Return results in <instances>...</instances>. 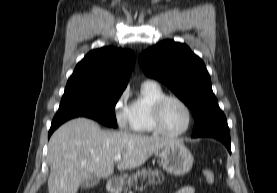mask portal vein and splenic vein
Returning <instances> with one entry per match:
<instances>
[{"label":"portal vein and splenic vein","instance_id":"obj_1","mask_svg":"<svg viewBox=\"0 0 277 193\" xmlns=\"http://www.w3.org/2000/svg\"><path fill=\"white\" fill-rule=\"evenodd\" d=\"M116 162H119L121 160V154H117L114 158Z\"/></svg>","mask_w":277,"mask_h":193}]
</instances>
